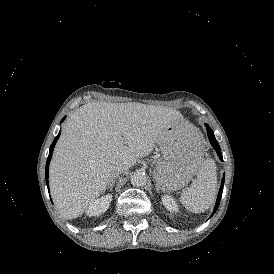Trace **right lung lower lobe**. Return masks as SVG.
I'll return each mask as SVG.
<instances>
[{
	"label": "right lung lower lobe",
	"mask_w": 274,
	"mask_h": 274,
	"mask_svg": "<svg viewBox=\"0 0 274 274\" xmlns=\"http://www.w3.org/2000/svg\"><path fill=\"white\" fill-rule=\"evenodd\" d=\"M64 119H65V117L62 119V121H63ZM62 121H61V122H62ZM59 136H60V132H59V134L57 135V137L54 139L53 143H52L51 146H50L49 156H48L47 163H46V173H45V175H46V184H47V186H48V190H49V185H48L49 162H50V160H51L52 152H53L54 146H55V144H56V142H57Z\"/></svg>",
	"instance_id": "obj_1"
}]
</instances>
